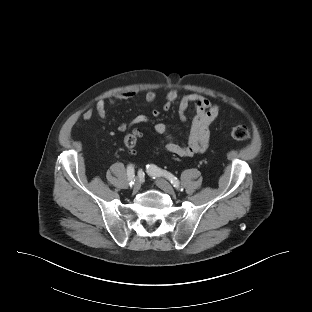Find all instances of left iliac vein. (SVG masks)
<instances>
[{
	"mask_svg": "<svg viewBox=\"0 0 312 312\" xmlns=\"http://www.w3.org/2000/svg\"><path fill=\"white\" fill-rule=\"evenodd\" d=\"M155 183L164 192H166L170 195H175L174 188L166 180H164L162 178H157Z\"/></svg>",
	"mask_w": 312,
	"mask_h": 312,
	"instance_id": "left-iliac-vein-1",
	"label": "left iliac vein"
}]
</instances>
